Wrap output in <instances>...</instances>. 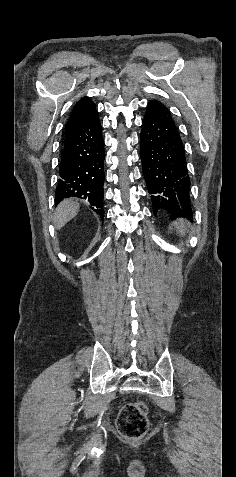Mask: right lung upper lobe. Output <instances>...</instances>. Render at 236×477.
I'll list each match as a JSON object with an SVG mask.
<instances>
[{"label": "right lung upper lobe", "instance_id": "obj_1", "mask_svg": "<svg viewBox=\"0 0 236 477\" xmlns=\"http://www.w3.org/2000/svg\"><path fill=\"white\" fill-rule=\"evenodd\" d=\"M95 112V105L89 98L79 100L68 119L65 135H70L81 128Z\"/></svg>", "mask_w": 236, "mask_h": 477}]
</instances>
